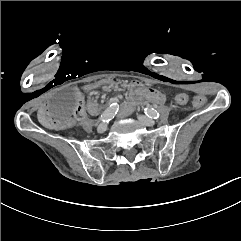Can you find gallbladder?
<instances>
[{
	"instance_id": "gallbladder-1",
	"label": "gallbladder",
	"mask_w": 241,
	"mask_h": 241,
	"mask_svg": "<svg viewBox=\"0 0 241 241\" xmlns=\"http://www.w3.org/2000/svg\"><path fill=\"white\" fill-rule=\"evenodd\" d=\"M79 102V92L73 86H67L60 90L48 103L52 115L60 119H68L73 116Z\"/></svg>"
}]
</instances>
